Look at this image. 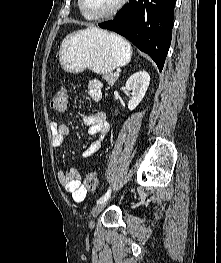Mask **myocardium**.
Instances as JSON below:
<instances>
[{"mask_svg": "<svg viewBox=\"0 0 221 263\" xmlns=\"http://www.w3.org/2000/svg\"><path fill=\"white\" fill-rule=\"evenodd\" d=\"M127 1L128 0H119L118 3L113 8H111L110 10L106 12L100 13V14L90 13L85 7L84 0H78V3H79L80 10L84 14V16L92 20H98V19H104V18H108V17L115 15L125 6Z\"/></svg>", "mask_w": 221, "mask_h": 263, "instance_id": "obj_1", "label": "myocardium"}]
</instances>
